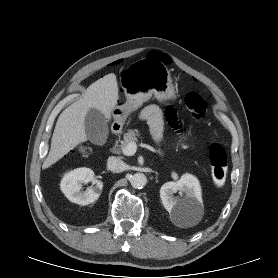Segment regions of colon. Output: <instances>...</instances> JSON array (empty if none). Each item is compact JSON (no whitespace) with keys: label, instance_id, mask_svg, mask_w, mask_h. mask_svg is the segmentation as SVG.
<instances>
[{"label":"colon","instance_id":"1","mask_svg":"<svg viewBox=\"0 0 278 278\" xmlns=\"http://www.w3.org/2000/svg\"><path fill=\"white\" fill-rule=\"evenodd\" d=\"M185 105L190 115L195 119H201L207 112V102L197 93H189L185 97ZM79 153L87 156L90 153L88 146H80ZM209 161L211 166L212 179L217 187L225 184L227 177V154L224 147L213 142L208 150Z\"/></svg>","mask_w":278,"mask_h":278}]
</instances>
